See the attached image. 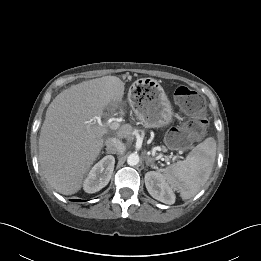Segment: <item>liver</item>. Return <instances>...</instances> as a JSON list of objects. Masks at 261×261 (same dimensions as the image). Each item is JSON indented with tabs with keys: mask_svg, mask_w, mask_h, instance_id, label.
<instances>
[{
	"mask_svg": "<svg viewBox=\"0 0 261 261\" xmlns=\"http://www.w3.org/2000/svg\"><path fill=\"white\" fill-rule=\"evenodd\" d=\"M124 83L104 76L74 85L50 103L39 137V163L47 182L64 195L77 193L98 157L107 130L97 124L108 105L122 101ZM124 124L118 138L131 137Z\"/></svg>",
	"mask_w": 261,
	"mask_h": 261,
	"instance_id": "obj_1",
	"label": "liver"
}]
</instances>
